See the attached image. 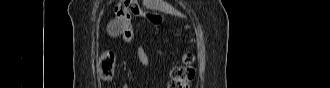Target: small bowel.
<instances>
[{
    "instance_id": "c3829d8e",
    "label": "small bowel",
    "mask_w": 330,
    "mask_h": 88,
    "mask_svg": "<svg viewBox=\"0 0 330 88\" xmlns=\"http://www.w3.org/2000/svg\"><path fill=\"white\" fill-rule=\"evenodd\" d=\"M136 57L139 63L144 67L149 68L151 66V60L140 44L136 47Z\"/></svg>"
}]
</instances>
